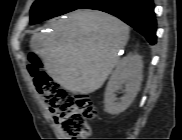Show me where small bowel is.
Returning a JSON list of instances; mask_svg holds the SVG:
<instances>
[{"label": "small bowel", "mask_w": 182, "mask_h": 140, "mask_svg": "<svg viewBox=\"0 0 182 140\" xmlns=\"http://www.w3.org/2000/svg\"><path fill=\"white\" fill-rule=\"evenodd\" d=\"M51 113H52L53 117L55 118L54 113L53 112H51Z\"/></svg>", "instance_id": "1"}]
</instances>
